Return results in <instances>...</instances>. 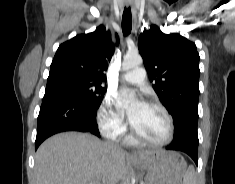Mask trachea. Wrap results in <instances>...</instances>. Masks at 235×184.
Returning <instances> with one entry per match:
<instances>
[{"mask_svg":"<svg viewBox=\"0 0 235 184\" xmlns=\"http://www.w3.org/2000/svg\"><path fill=\"white\" fill-rule=\"evenodd\" d=\"M132 29V16H131V9L130 7L124 9L123 16H122V30L125 36L130 34Z\"/></svg>","mask_w":235,"mask_h":184,"instance_id":"trachea-1","label":"trachea"}]
</instances>
